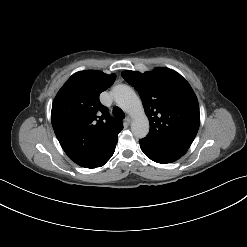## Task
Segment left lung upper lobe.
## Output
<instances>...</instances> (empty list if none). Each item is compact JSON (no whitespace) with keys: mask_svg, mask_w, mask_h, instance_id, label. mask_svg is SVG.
<instances>
[{"mask_svg":"<svg viewBox=\"0 0 247 247\" xmlns=\"http://www.w3.org/2000/svg\"><path fill=\"white\" fill-rule=\"evenodd\" d=\"M122 77L139 93L149 119L147 139L188 149L199 128L197 98L188 82L167 68L144 74L124 71Z\"/></svg>","mask_w":247,"mask_h":247,"instance_id":"1","label":"left lung upper lobe"}]
</instances>
